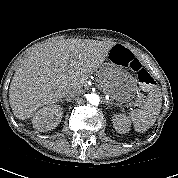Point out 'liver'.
I'll list each match as a JSON object with an SVG mask.
<instances>
[{
  "label": "liver",
  "mask_w": 178,
  "mask_h": 178,
  "mask_svg": "<svg viewBox=\"0 0 178 178\" xmlns=\"http://www.w3.org/2000/svg\"><path fill=\"white\" fill-rule=\"evenodd\" d=\"M115 45L112 41L63 39L45 43L17 68L9 88L14 115L29 119L38 108L82 90Z\"/></svg>",
  "instance_id": "liver-1"
}]
</instances>
